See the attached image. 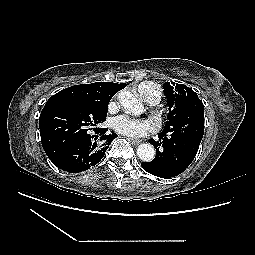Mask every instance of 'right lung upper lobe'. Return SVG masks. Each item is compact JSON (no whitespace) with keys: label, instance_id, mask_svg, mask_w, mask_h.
Returning a JSON list of instances; mask_svg holds the SVG:
<instances>
[{"label":"right lung upper lobe","instance_id":"1","mask_svg":"<svg viewBox=\"0 0 255 255\" xmlns=\"http://www.w3.org/2000/svg\"><path fill=\"white\" fill-rule=\"evenodd\" d=\"M125 83L95 82L91 84H81L63 89L50 97L48 103L68 100V101H110V99L121 89L125 88Z\"/></svg>","mask_w":255,"mask_h":255}]
</instances>
